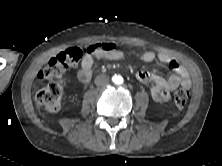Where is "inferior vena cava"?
I'll return each instance as SVG.
<instances>
[{"label":"inferior vena cava","instance_id":"1","mask_svg":"<svg viewBox=\"0 0 222 166\" xmlns=\"http://www.w3.org/2000/svg\"><path fill=\"white\" fill-rule=\"evenodd\" d=\"M95 84L97 86H106L109 84V78L106 75H99L95 78Z\"/></svg>","mask_w":222,"mask_h":166}]
</instances>
